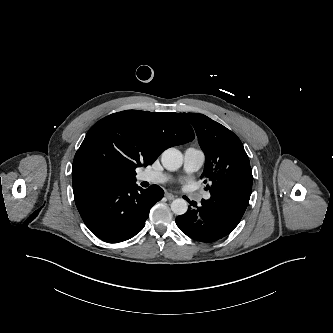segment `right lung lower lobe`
<instances>
[{
  "instance_id": "1",
  "label": "right lung lower lobe",
  "mask_w": 333,
  "mask_h": 333,
  "mask_svg": "<svg viewBox=\"0 0 333 333\" xmlns=\"http://www.w3.org/2000/svg\"><path fill=\"white\" fill-rule=\"evenodd\" d=\"M77 209L90 231L108 243L128 240L145 226L151 207L164 192L157 186L142 189L135 183L90 180L73 186Z\"/></svg>"
}]
</instances>
